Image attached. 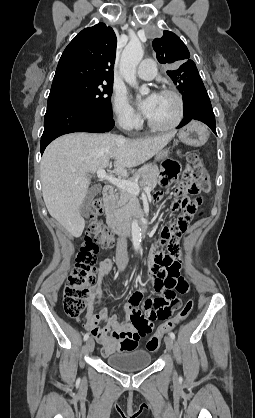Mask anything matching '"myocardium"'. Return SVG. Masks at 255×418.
Segmentation results:
<instances>
[{"instance_id": "1", "label": "myocardium", "mask_w": 255, "mask_h": 418, "mask_svg": "<svg viewBox=\"0 0 255 418\" xmlns=\"http://www.w3.org/2000/svg\"><path fill=\"white\" fill-rule=\"evenodd\" d=\"M160 94L172 96L176 100L177 106H178L176 117L174 118V120L171 123H169L167 125L154 124L148 118L146 120V123H147V126L153 131L167 132V131H170V130H173L174 128H176L181 123V121L183 120L184 112H185V103H184V99H183L182 95L174 89L165 88V89L160 91Z\"/></svg>"}]
</instances>
